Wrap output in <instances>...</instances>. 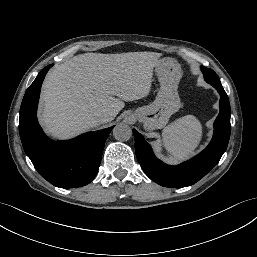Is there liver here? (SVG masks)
I'll return each mask as SVG.
<instances>
[{"instance_id":"liver-1","label":"liver","mask_w":257,"mask_h":257,"mask_svg":"<svg viewBox=\"0 0 257 257\" xmlns=\"http://www.w3.org/2000/svg\"><path fill=\"white\" fill-rule=\"evenodd\" d=\"M160 56L155 52L85 53L64 62L44 80L41 124L53 137L64 139L98 126L99 114H112V121L124 108L123 101L149 94Z\"/></svg>"}]
</instances>
